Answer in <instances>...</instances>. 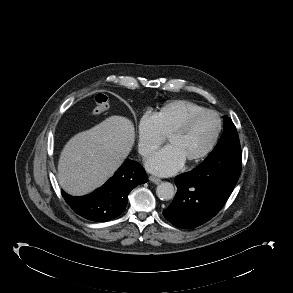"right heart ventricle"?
Here are the masks:
<instances>
[{
  "label": "right heart ventricle",
  "mask_w": 293,
  "mask_h": 293,
  "mask_svg": "<svg viewBox=\"0 0 293 293\" xmlns=\"http://www.w3.org/2000/svg\"><path fill=\"white\" fill-rule=\"evenodd\" d=\"M205 108L195 102L179 99L162 105L153 113L163 136L177 128L187 117Z\"/></svg>",
  "instance_id": "obj_1"
}]
</instances>
